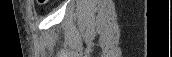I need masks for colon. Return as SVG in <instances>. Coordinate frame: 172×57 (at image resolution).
<instances>
[{"label": "colon", "mask_w": 172, "mask_h": 57, "mask_svg": "<svg viewBox=\"0 0 172 57\" xmlns=\"http://www.w3.org/2000/svg\"><path fill=\"white\" fill-rule=\"evenodd\" d=\"M38 2H39L40 4H43V3L46 2V0H38Z\"/></svg>", "instance_id": "obj_1"}]
</instances>
